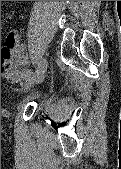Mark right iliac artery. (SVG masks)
<instances>
[{
	"instance_id": "1",
	"label": "right iliac artery",
	"mask_w": 121,
	"mask_h": 169,
	"mask_svg": "<svg viewBox=\"0 0 121 169\" xmlns=\"http://www.w3.org/2000/svg\"><path fill=\"white\" fill-rule=\"evenodd\" d=\"M34 76V72L28 70L25 74H24V79H28L30 77Z\"/></svg>"
}]
</instances>
